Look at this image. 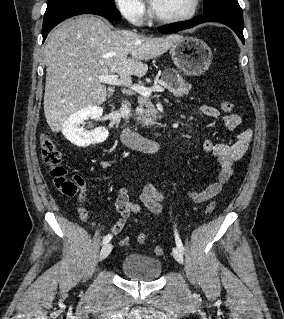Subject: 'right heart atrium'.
I'll return each instance as SVG.
<instances>
[{"label":"right heart atrium","mask_w":284,"mask_h":319,"mask_svg":"<svg viewBox=\"0 0 284 319\" xmlns=\"http://www.w3.org/2000/svg\"><path fill=\"white\" fill-rule=\"evenodd\" d=\"M120 14L130 23L140 25L144 22L147 9L141 0H114Z\"/></svg>","instance_id":"1"}]
</instances>
